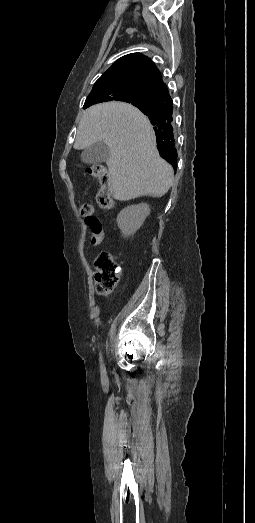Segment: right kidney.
I'll return each mask as SVG.
<instances>
[{
	"label": "right kidney",
	"instance_id": "right-kidney-1",
	"mask_svg": "<svg viewBox=\"0 0 255 523\" xmlns=\"http://www.w3.org/2000/svg\"><path fill=\"white\" fill-rule=\"evenodd\" d=\"M150 208L148 204H137V206H127L121 210L117 216V224L124 236H132L139 228H141L145 218L149 216Z\"/></svg>",
	"mask_w": 255,
	"mask_h": 523
}]
</instances>
